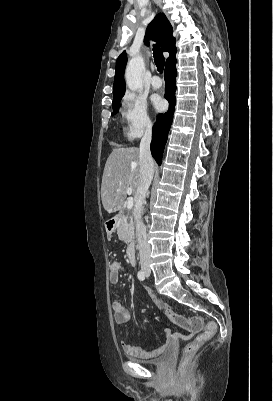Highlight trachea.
<instances>
[{"label": "trachea", "mask_w": 273, "mask_h": 401, "mask_svg": "<svg viewBox=\"0 0 273 401\" xmlns=\"http://www.w3.org/2000/svg\"><path fill=\"white\" fill-rule=\"evenodd\" d=\"M153 57H154L155 64L158 68V71L163 72L164 65H165V58L163 56L162 50L157 45L153 46Z\"/></svg>", "instance_id": "1"}]
</instances>
